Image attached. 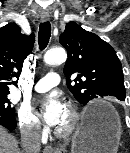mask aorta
<instances>
[{"instance_id":"1","label":"aorta","mask_w":130,"mask_h":153,"mask_svg":"<svg viewBox=\"0 0 130 153\" xmlns=\"http://www.w3.org/2000/svg\"><path fill=\"white\" fill-rule=\"evenodd\" d=\"M67 59V54L62 48L48 50L44 55V61L48 65H60Z\"/></svg>"}]
</instances>
